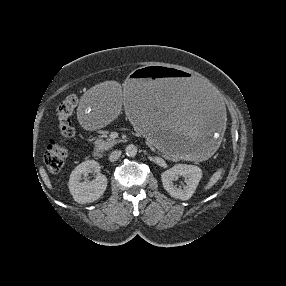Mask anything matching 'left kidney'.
I'll return each mask as SVG.
<instances>
[{
  "label": "left kidney",
  "instance_id": "obj_1",
  "mask_svg": "<svg viewBox=\"0 0 286 286\" xmlns=\"http://www.w3.org/2000/svg\"><path fill=\"white\" fill-rule=\"evenodd\" d=\"M179 176L187 178L186 185L183 189L177 188L173 183V181ZM201 178V169L197 166L187 164H176L161 174L164 189L172 197L183 201L191 198Z\"/></svg>",
  "mask_w": 286,
  "mask_h": 286
}]
</instances>
